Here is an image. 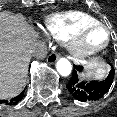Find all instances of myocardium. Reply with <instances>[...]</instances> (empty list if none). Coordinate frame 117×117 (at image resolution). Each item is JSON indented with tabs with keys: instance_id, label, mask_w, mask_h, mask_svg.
Returning <instances> with one entry per match:
<instances>
[{
	"instance_id": "myocardium-1",
	"label": "myocardium",
	"mask_w": 117,
	"mask_h": 117,
	"mask_svg": "<svg viewBox=\"0 0 117 117\" xmlns=\"http://www.w3.org/2000/svg\"><path fill=\"white\" fill-rule=\"evenodd\" d=\"M95 28H101L106 32L105 42L97 47H86L83 44L85 35ZM111 30L101 22L90 23L78 30L68 41V48L71 54L78 59H85L103 51L111 42Z\"/></svg>"
}]
</instances>
